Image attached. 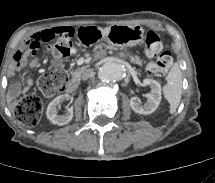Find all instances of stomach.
I'll return each instance as SVG.
<instances>
[{
	"instance_id": "1",
	"label": "stomach",
	"mask_w": 215,
	"mask_h": 183,
	"mask_svg": "<svg viewBox=\"0 0 215 183\" xmlns=\"http://www.w3.org/2000/svg\"><path fill=\"white\" fill-rule=\"evenodd\" d=\"M97 39L106 41L115 47H133L140 43L144 30L139 25L116 24L106 28H97Z\"/></svg>"
}]
</instances>
